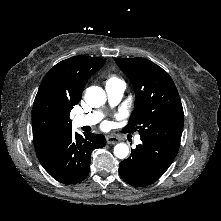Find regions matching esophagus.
I'll return each mask as SVG.
<instances>
[{"mask_svg":"<svg viewBox=\"0 0 221 221\" xmlns=\"http://www.w3.org/2000/svg\"><path fill=\"white\" fill-rule=\"evenodd\" d=\"M106 142L108 144H115V143L119 142V139L115 136H107L106 137Z\"/></svg>","mask_w":221,"mask_h":221,"instance_id":"obj_1","label":"esophagus"}]
</instances>
